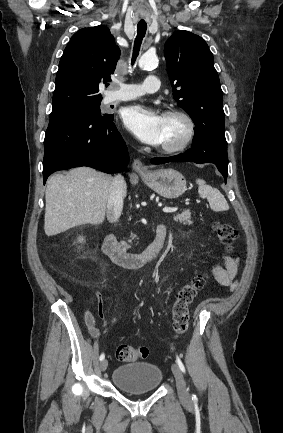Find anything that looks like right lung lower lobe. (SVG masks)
Here are the masks:
<instances>
[{"mask_svg": "<svg viewBox=\"0 0 283 433\" xmlns=\"http://www.w3.org/2000/svg\"><path fill=\"white\" fill-rule=\"evenodd\" d=\"M113 115L96 113L50 118L44 140L43 183L55 171L89 166L106 173L125 170L127 147Z\"/></svg>", "mask_w": 283, "mask_h": 433, "instance_id": "obj_1", "label": "right lung lower lobe"}]
</instances>
